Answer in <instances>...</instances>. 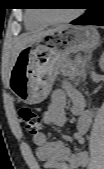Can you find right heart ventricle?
I'll use <instances>...</instances> for the list:
<instances>
[{"mask_svg": "<svg viewBox=\"0 0 104 169\" xmlns=\"http://www.w3.org/2000/svg\"><path fill=\"white\" fill-rule=\"evenodd\" d=\"M25 23L29 30H39L47 26V23L43 21L35 12H28L26 14Z\"/></svg>", "mask_w": 104, "mask_h": 169, "instance_id": "1", "label": "right heart ventricle"}]
</instances>
